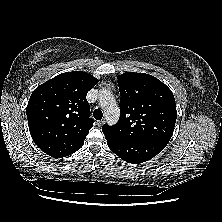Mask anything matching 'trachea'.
<instances>
[{"label":"trachea","instance_id":"trachea-1","mask_svg":"<svg viewBox=\"0 0 222 222\" xmlns=\"http://www.w3.org/2000/svg\"><path fill=\"white\" fill-rule=\"evenodd\" d=\"M93 116L95 119L100 120L103 117V113L100 109H95L93 112Z\"/></svg>","mask_w":222,"mask_h":222}]
</instances>
